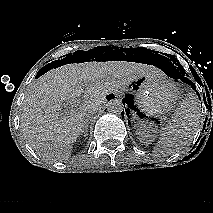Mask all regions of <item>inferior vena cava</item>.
Returning a JSON list of instances; mask_svg holds the SVG:
<instances>
[{"instance_id": "602c4592", "label": "inferior vena cava", "mask_w": 213, "mask_h": 213, "mask_svg": "<svg viewBox=\"0 0 213 213\" xmlns=\"http://www.w3.org/2000/svg\"><path fill=\"white\" fill-rule=\"evenodd\" d=\"M96 109L87 110L85 113V122H89L94 118V114L96 113Z\"/></svg>"}]
</instances>
